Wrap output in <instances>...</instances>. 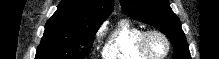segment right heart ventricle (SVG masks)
Here are the masks:
<instances>
[{
	"mask_svg": "<svg viewBox=\"0 0 219 59\" xmlns=\"http://www.w3.org/2000/svg\"><path fill=\"white\" fill-rule=\"evenodd\" d=\"M143 29L126 18L120 19L110 32L102 51L104 59H150L139 48Z\"/></svg>",
	"mask_w": 219,
	"mask_h": 59,
	"instance_id": "right-heart-ventricle-1",
	"label": "right heart ventricle"
}]
</instances>
